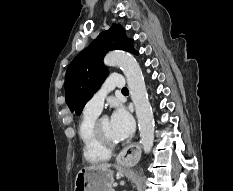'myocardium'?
Instances as JSON below:
<instances>
[{
  "label": "myocardium",
  "mask_w": 233,
  "mask_h": 191,
  "mask_svg": "<svg viewBox=\"0 0 233 191\" xmlns=\"http://www.w3.org/2000/svg\"><path fill=\"white\" fill-rule=\"evenodd\" d=\"M101 120L102 119L96 120L94 124V135H95L96 140L101 146H103L104 148L108 150H111L117 145V141L112 140L108 138L107 136H105V134L101 130V126H100Z\"/></svg>",
  "instance_id": "1"
}]
</instances>
